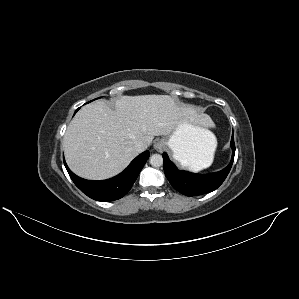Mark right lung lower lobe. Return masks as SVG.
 Returning <instances> with one entry per match:
<instances>
[{"label":"right lung lower lobe","instance_id":"obj_1","mask_svg":"<svg viewBox=\"0 0 299 299\" xmlns=\"http://www.w3.org/2000/svg\"><path fill=\"white\" fill-rule=\"evenodd\" d=\"M149 155V151L143 152L137 156L122 173L103 181H92L80 178L68 168L65 160L64 165L75 185L88 197L97 201H114L128 193L149 158Z\"/></svg>","mask_w":299,"mask_h":299}]
</instances>
